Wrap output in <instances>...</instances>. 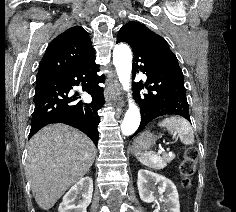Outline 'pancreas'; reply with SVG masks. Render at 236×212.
<instances>
[{"instance_id":"cf45deb5","label":"pancreas","mask_w":236,"mask_h":212,"mask_svg":"<svg viewBox=\"0 0 236 212\" xmlns=\"http://www.w3.org/2000/svg\"><path fill=\"white\" fill-rule=\"evenodd\" d=\"M174 158H175V155H167V154H164L163 157H162L163 162H164L165 165L168 162L172 161Z\"/></svg>"}]
</instances>
